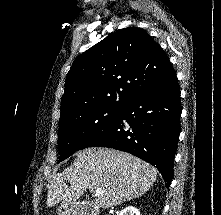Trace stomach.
Listing matches in <instances>:
<instances>
[{"label":"stomach","instance_id":"0dacf381","mask_svg":"<svg viewBox=\"0 0 221 215\" xmlns=\"http://www.w3.org/2000/svg\"><path fill=\"white\" fill-rule=\"evenodd\" d=\"M58 215H77L76 207L73 203L62 202L57 210Z\"/></svg>","mask_w":221,"mask_h":215}]
</instances>
